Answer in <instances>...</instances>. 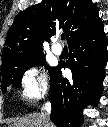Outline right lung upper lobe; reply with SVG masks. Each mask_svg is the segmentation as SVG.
Here are the masks:
<instances>
[{"mask_svg":"<svg viewBox=\"0 0 108 127\" xmlns=\"http://www.w3.org/2000/svg\"><path fill=\"white\" fill-rule=\"evenodd\" d=\"M99 18L92 0H42L20 12L3 49L2 65L42 54V43L62 29L67 41Z\"/></svg>","mask_w":108,"mask_h":127,"instance_id":"right-lung-upper-lobe-1","label":"right lung upper lobe"}]
</instances>
